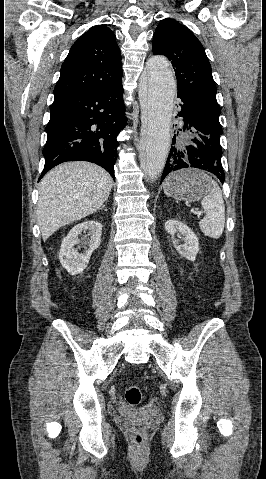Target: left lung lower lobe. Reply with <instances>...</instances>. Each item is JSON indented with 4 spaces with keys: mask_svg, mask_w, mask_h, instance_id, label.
Masks as SVG:
<instances>
[{
    "mask_svg": "<svg viewBox=\"0 0 266 479\" xmlns=\"http://www.w3.org/2000/svg\"><path fill=\"white\" fill-rule=\"evenodd\" d=\"M177 97L181 99V110L177 116L184 118V126L179 129L184 132V138L176 142V137H173L161 182L173 171L192 167L213 173L223 183L221 134L186 98Z\"/></svg>",
    "mask_w": 266,
    "mask_h": 479,
    "instance_id": "obj_1",
    "label": "left lung lower lobe"
}]
</instances>
